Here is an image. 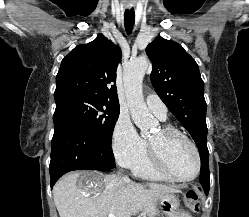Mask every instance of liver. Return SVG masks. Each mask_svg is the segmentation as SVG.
I'll return each instance as SVG.
<instances>
[{"instance_id":"6515ba94","label":"liver","mask_w":249,"mask_h":217,"mask_svg":"<svg viewBox=\"0 0 249 217\" xmlns=\"http://www.w3.org/2000/svg\"><path fill=\"white\" fill-rule=\"evenodd\" d=\"M87 186L77 185L78 178ZM179 192L170 186L146 185L115 175L98 172H74L62 177L53 188V198L60 217H127L144 211L157 214L156 205L166 193Z\"/></svg>"}]
</instances>
